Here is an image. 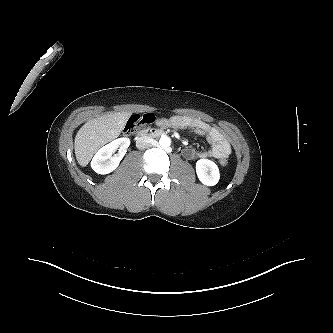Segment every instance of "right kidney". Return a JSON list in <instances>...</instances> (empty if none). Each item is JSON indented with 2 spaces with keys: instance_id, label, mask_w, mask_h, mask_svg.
Masks as SVG:
<instances>
[{
  "instance_id": "right-kidney-1",
  "label": "right kidney",
  "mask_w": 333,
  "mask_h": 333,
  "mask_svg": "<svg viewBox=\"0 0 333 333\" xmlns=\"http://www.w3.org/2000/svg\"><path fill=\"white\" fill-rule=\"evenodd\" d=\"M130 145L128 138H118L109 144L103 146L94 155L91 161V168L98 174H108L114 171L122 158L124 157L127 148ZM119 150L117 154L112 155L113 152Z\"/></svg>"
}]
</instances>
